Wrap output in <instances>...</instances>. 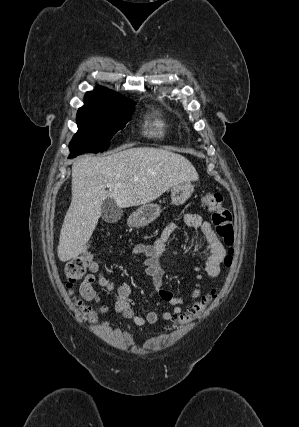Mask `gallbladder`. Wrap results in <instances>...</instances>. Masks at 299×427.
I'll return each mask as SVG.
<instances>
[{
  "label": "gallbladder",
  "instance_id": "gallbladder-1",
  "mask_svg": "<svg viewBox=\"0 0 299 427\" xmlns=\"http://www.w3.org/2000/svg\"><path fill=\"white\" fill-rule=\"evenodd\" d=\"M123 211L119 208L113 199L107 198L103 201L101 207V218L107 223H116L121 219Z\"/></svg>",
  "mask_w": 299,
  "mask_h": 427
}]
</instances>
